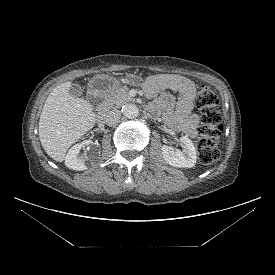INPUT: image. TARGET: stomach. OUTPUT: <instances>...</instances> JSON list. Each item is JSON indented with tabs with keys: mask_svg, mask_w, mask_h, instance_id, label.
Returning <instances> with one entry per match:
<instances>
[{
	"mask_svg": "<svg viewBox=\"0 0 275 275\" xmlns=\"http://www.w3.org/2000/svg\"><path fill=\"white\" fill-rule=\"evenodd\" d=\"M119 81L108 75H96L89 81V88L96 95H110L118 89Z\"/></svg>",
	"mask_w": 275,
	"mask_h": 275,
	"instance_id": "0dacf381",
	"label": "stomach"
}]
</instances>
